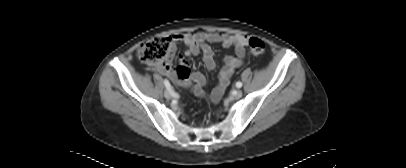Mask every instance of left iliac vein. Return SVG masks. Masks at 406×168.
<instances>
[{
  "instance_id": "left-iliac-vein-1",
  "label": "left iliac vein",
  "mask_w": 406,
  "mask_h": 168,
  "mask_svg": "<svg viewBox=\"0 0 406 168\" xmlns=\"http://www.w3.org/2000/svg\"><path fill=\"white\" fill-rule=\"evenodd\" d=\"M242 95H243V92H242L241 90H236V91L233 93L232 98H233V99H239V98L242 97Z\"/></svg>"
}]
</instances>
